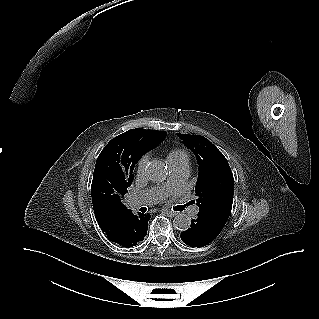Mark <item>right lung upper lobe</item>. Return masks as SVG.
I'll use <instances>...</instances> for the list:
<instances>
[{
	"label": "right lung upper lobe",
	"instance_id": "1",
	"mask_svg": "<svg viewBox=\"0 0 319 319\" xmlns=\"http://www.w3.org/2000/svg\"><path fill=\"white\" fill-rule=\"evenodd\" d=\"M166 137V132L146 129H131L113 138L112 141L127 145L141 158L147 151L154 148ZM127 210L125 205H120L95 212L96 220L103 231L117 216Z\"/></svg>",
	"mask_w": 319,
	"mask_h": 319
}]
</instances>
